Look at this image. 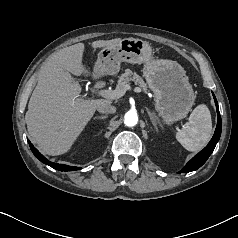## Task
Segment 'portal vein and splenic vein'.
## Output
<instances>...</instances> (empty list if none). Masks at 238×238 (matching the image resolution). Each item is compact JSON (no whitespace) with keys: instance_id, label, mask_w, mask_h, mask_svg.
Returning <instances> with one entry per match:
<instances>
[{"instance_id":"portal-vein-and-splenic-vein-1","label":"portal vein and splenic vein","mask_w":238,"mask_h":238,"mask_svg":"<svg viewBox=\"0 0 238 238\" xmlns=\"http://www.w3.org/2000/svg\"><path fill=\"white\" fill-rule=\"evenodd\" d=\"M127 90H131V86L130 85H126L124 87V89H122V90H119V89H115V90H100L98 92V96H101V97H104V98H108V99H118V98L122 97ZM140 91H141V89L138 88V87H136L134 89V92H140Z\"/></svg>"}]
</instances>
